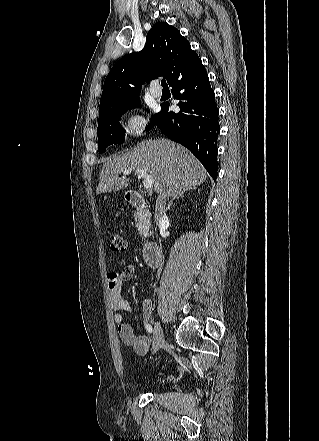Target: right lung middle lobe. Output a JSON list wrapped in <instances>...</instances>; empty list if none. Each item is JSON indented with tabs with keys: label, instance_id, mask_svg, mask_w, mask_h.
<instances>
[{
	"label": "right lung middle lobe",
	"instance_id": "obj_1",
	"mask_svg": "<svg viewBox=\"0 0 319 441\" xmlns=\"http://www.w3.org/2000/svg\"><path fill=\"white\" fill-rule=\"evenodd\" d=\"M140 106L139 101L128 104L108 107L99 111L98 143L99 153H102L111 144H122L125 131L119 123L121 116L130 108ZM158 114L153 116L155 125ZM152 126L150 125V128ZM149 130V128H147Z\"/></svg>",
	"mask_w": 319,
	"mask_h": 441
}]
</instances>
